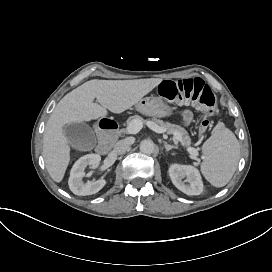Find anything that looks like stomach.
<instances>
[{
	"label": "stomach",
	"instance_id": "stomach-1",
	"mask_svg": "<svg viewBox=\"0 0 272 272\" xmlns=\"http://www.w3.org/2000/svg\"><path fill=\"white\" fill-rule=\"evenodd\" d=\"M135 108L147 116L165 117L172 114V108L162 99L154 96L142 98L135 104Z\"/></svg>",
	"mask_w": 272,
	"mask_h": 272
}]
</instances>
